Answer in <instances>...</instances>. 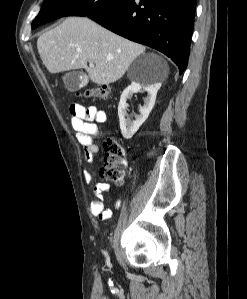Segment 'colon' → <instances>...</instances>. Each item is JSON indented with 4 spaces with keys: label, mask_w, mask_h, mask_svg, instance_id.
Segmentation results:
<instances>
[{
    "label": "colon",
    "mask_w": 247,
    "mask_h": 299,
    "mask_svg": "<svg viewBox=\"0 0 247 299\" xmlns=\"http://www.w3.org/2000/svg\"><path fill=\"white\" fill-rule=\"evenodd\" d=\"M81 96L89 99H107L110 95V89L107 86H97L86 89ZM105 151V167L102 176L114 183H121L124 178L122 167V156L124 148L114 138H107L103 144Z\"/></svg>",
    "instance_id": "1"
}]
</instances>
